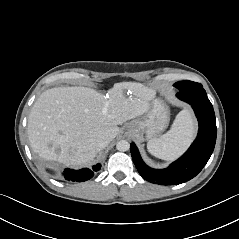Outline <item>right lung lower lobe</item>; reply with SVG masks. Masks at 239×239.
I'll return each mask as SVG.
<instances>
[{"mask_svg": "<svg viewBox=\"0 0 239 239\" xmlns=\"http://www.w3.org/2000/svg\"><path fill=\"white\" fill-rule=\"evenodd\" d=\"M100 167L101 165L97 164L93 166L92 170L88 168H84L80 170L66 169L64 171L65 179L77 181V182L89 180L91 177H93L94 171H98Z\"/></svg>", "mask_w": 239, "mask_h": 239, "instance_id": "1", "label": "right lung lower lobe"}]
</instances>
